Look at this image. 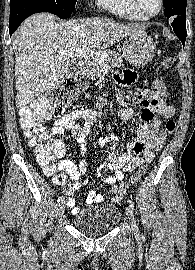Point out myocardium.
<instances>
[{"label":"myocardium","mask_w":195,"mask_h":270,"mask_svg":"<svg viewBox=\"0 0 195 270\" xmlns=\"http://www.w3.org/2000/svg\"><path fill=\"white\" fill-rule=\"evenodd\" d=\"M129 1H130V5L132 6V8L145 19L156 17L157 15H159L161 13V11L163 10V7H164V0H159V8H158V10L156 12H154V13H144L140 9V7H139V5L137 3V0H129Z\"/></svg>","instance_id":"1"}]
</instances>
